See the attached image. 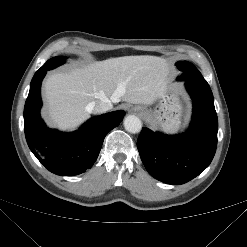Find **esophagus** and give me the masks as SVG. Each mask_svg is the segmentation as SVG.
<instances>
[{
    "instance_id": "1",
    "label": "esophagus",
    "mask_w": 247,
    "mask_h": 247,
    "mask_svg": "<svg viewBox=\"0 0 247 247\" xmlns=\"http://www.w3.org/2000/svg\"><path fill=\"white\" fill-rule=\"evenodd\" d=\"M140 111H143L142 109L138 108Z\"/></svg>"
}]
</instances>
